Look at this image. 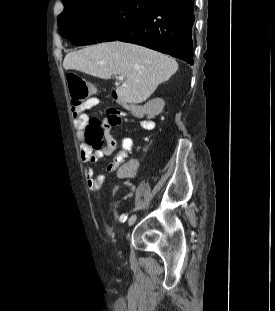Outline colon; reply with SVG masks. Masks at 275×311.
<instances>
[{
  "instance_id": "5ec220e1",
  "label": "colon",
  "mask_w": 275,
  "mask_h": 311,
  "mask_svg": "<svg viewBox=\"0 0 275 311\" xmlns=\"http://www.w3.org/2000/svg\"><path fill=\"white\" fill-rule=\"evenodd\" d=\"M67 83L71 92V103L74 107L81 104H99V97H92L94 89L92 85L77 74L67 75ZM122 122L121 116L113 109L106 112V123L118 125ZM105 128L96 119L90 118L86 125V139L97 149H103L105 141Z\"/></svg>"
}]
</instances>
